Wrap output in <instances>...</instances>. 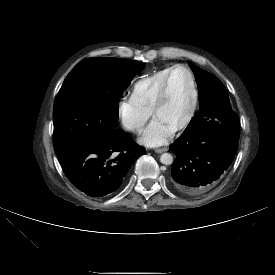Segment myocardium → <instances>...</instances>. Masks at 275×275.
Here are the masks:
<instances>
[{"label": "myocardium", "mask_w": 275, "mask_h": 275, "mask_svg": "<svg viewBox=\"0 0 275 275\" xmlns=\"http://www.w3.org/2000/svg\"><path fill=\"white\" fill-rule=\"evenodd\" d=\"M177 69H183L185 70L190 78V83H191V88H192V104H191V108L189 110V113L187 115V117L178 125L174 128V131H181L184 130L185 128H187L189 126V124L192 122L195 114H196V110H197V106H198V99H199V95H198V88H197V83L194 77V74L192 73V71L185 65L182 64H177L175 66H173L171 68V70L169 71V73L167 74L164 83L161 87V90L157 96L156 102L153 106L152 109V114L155 115L157 113V111L163 106V104L165 103L167 96H168V91H169V84H170V79L172 74L174 73L175 70Z\"/></svg>", "instance_id": "1"}]
</instances>
